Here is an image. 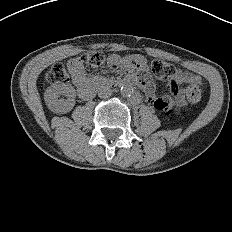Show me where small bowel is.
Returning <instances> with one entry per match:
<instances>
[{"label":"small bowel","mask_w":232,"mask_h":232,"mask_svg":"<svg viewBox=\"0 0 232 232\" xmlns=\"http://www.w3.org/2000/svg\"><path fill=\"white\" fill-rule=\"evenodd\" d=\"M68 68L71 72L73 83L78 88L84 87L87 84V75L79 59H71L68 62ZM150 63L147 59L142 58L138 54H131L129 56H112L104 64V69L109 74H114L119 71L126 76H132L137 74L138 79L141 81L140 86L146 91L147 100L152 104L153 108L159 112H165L170 107L173 99L170 96L162 98H156L152 90L154 82L148 72ZM181 84H193L202 86L203 82L201 77L177 70L176 74L171 78L168 88L174 95V99L178 104H184L185 102V90L180 89Z\"/></svg>","instance_id":"obj_1"}]
</instances>
